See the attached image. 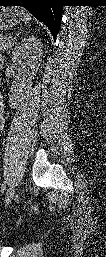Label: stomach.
Masks as SVG:
<instances>
[{
	"label": "stomach",
	"mask_w": 106,
	"mask_h": 257,
	"mask_svg": "<svg viewBox=\"0 0 106 257\" xmlns=\"http://www.w3.org/2000/svg\"><path fill=\"white\" fill-rule=\"evenodd\" d=\"M23 13L22 9L16 7H2L0 12V30L6 31L19 24Z\"/></svg>",
	"instance_id": "obj_1"
}]
</instances>
